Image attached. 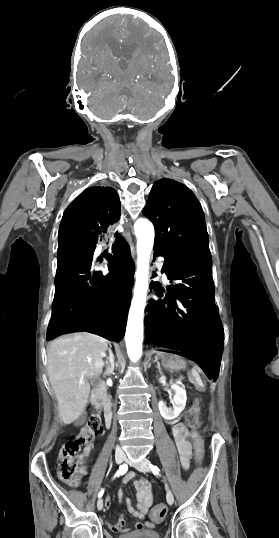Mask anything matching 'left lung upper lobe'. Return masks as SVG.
<instances>
[{"instance_id":"1","label":"left lung upper lobe","mask_w":279,"mask_h":538,"mask_svg":"<svg viewBox=\"0 0 279 538\" xmlns=\"http://www.w3.org/2000/svg\"><path fill=\"white\" fill-rule=\"evenodd\" d=\"M143 214L155 226V249L180 260H211L204 213L188 187L167 178L158 180Z\"/></svg>"}]
</instances>
